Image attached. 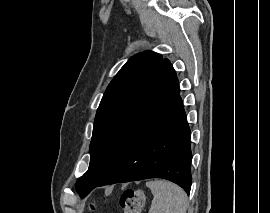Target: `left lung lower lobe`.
I'll return each mask as SVG.
<instances>
[{
  "mask_svg": "<svg viewBox=\"0 0 270 213\" xmlns=\"http://www.w3.org/2000/svg\"><path fill=\"white\" fill-rule=\"evenodd\" d=\"M179 93L177 85L144 119L97 186L163 178L189 194L190 129Z\"/></svg>",
  "mask_w": 270,
  "mask_h": 213,
  "instance_id": "0a47b994",
  "label": "left lung lower lobe"
}]
</instances>
